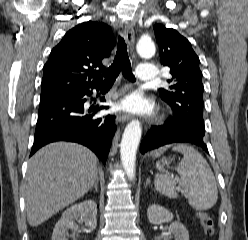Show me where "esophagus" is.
Masks as SVG:
<instances>
[{"label":"esophagus","instance_id":"obj_1","mask_svg":"<svg viewBox=\"0 0 248 240\" xmlns=\"http://www.w3.org/2000/svg\"><path fill=\"white\" fill-rule=\"evenodd\" d=\"M123 36L128 42L130 51L134 49V30L132 25L126 24L123 29ZM130 119V115L126 113H119L116 116L118 122H127Z\"/></svg>","mask_w":248,"mask_h":240}]
</instances>
